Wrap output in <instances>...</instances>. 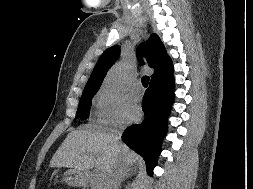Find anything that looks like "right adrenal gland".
Segmentation results:
<instances>
[{
    "label": "right adrenal gland",
    "mask_w": 253,
    "mask_h": 189,
    "mask_svg": "<svg viewBox=\"0 0 253 189\" xmlns=\"http://www.w3.org/2000/svg\"><path fill=\"white\" fill-rule=\"evenodd\" d=\"M135 169H136V166H129V167L127 168V171H126V174H125V178H124V179L130 177V176L136 171Z\"/></svg>",
    "instance_id": "2a0ac1e0"
}]
</instances>
